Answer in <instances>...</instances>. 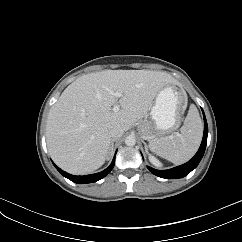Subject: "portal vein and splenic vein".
I'll return each mask as SVG.
<instances>
[{"label":"portal vein and splenic vein","mask_w":242,"mask_h":242,"mask_svg":"<svg viewBox=\"0 0 242 242\" xmlns=\"http://www.w3.org/2000/svg\"><path fill=\"white\" fill-rule=\"evenodd\" d=\"M112 94L118 98L121 97L122 95L121 92L119 91L113 92ZM119 110H120V106L118 104L113 107L114 112H118Z\"/></svg>","instance_id":"portal-vein-and-splenic-vein-1"}]
</instances>
